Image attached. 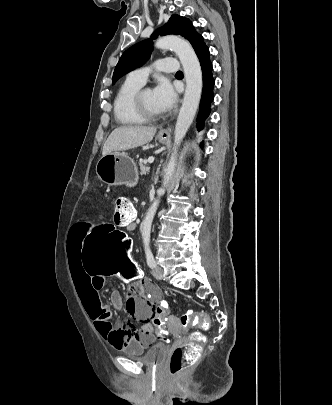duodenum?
Listing matches in <instances>:
<instances>
[{"label":"duodenum","instance_id":"1","mask_svg":"<svg viewBox=\"0 0 332 405\" xmlns=\"http://www.w3.org/2000/svg\"><path fill=\"white\" fill-rule=\"evenodd\" d=\"M127 227L130 230H135L137 228V221H136L135 217H133V218H131L130 220L127 221Z\"/></svg>","mask_w":332,"mask_h":405}]
</instances>
